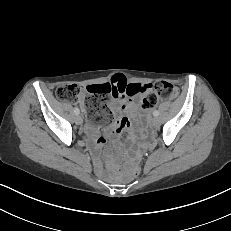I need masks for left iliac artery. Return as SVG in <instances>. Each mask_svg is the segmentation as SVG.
I'll return each mask as SVG.
<instances>
[{
  "mask_svg": "<svg viewBox=\"0 0 231 231\" xmlns=\"http://www.w3.org/2000/svg\"><path fill=\"white\" fill-rule=\"evenodd\" d=\"M153 115H154L155 117H157V116L159 115V112H158L157 110H155V111L153 112Z\"/></svg>",
  "mask_w": 231,
  "mask_h": 231,
  "instance_id": "1",
  "label": "left iliac artery"
}]
</instances>
